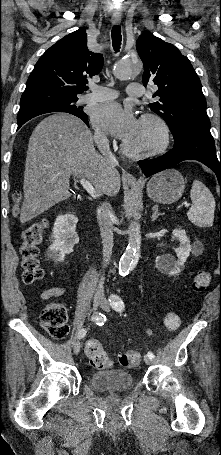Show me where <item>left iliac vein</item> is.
Instances as JSON below:
<instances>
[{
	"label": "left iliac vein",
	"mask_w": 221,
	"mask_h": 455,
	"mask_svg": "<svg viewBox=\"0 0 221 455\" xmlns=\"http://www.w3.org/2000/svg\"><path fill=\"white\" fill-rule=\"evenodd\" d=\"M101 308L104 311L109 312L110 311L109 302L107 300H103V302L101 303ZM144 361L147 365H150L153 363V359L150 358L148 355L144 357Z\"/></svg>",
	"instance_id": "4c4485c4"
}]
</instances>
